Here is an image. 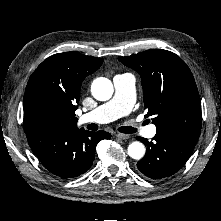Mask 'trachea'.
I'll return each instance as SVG.
<instances>
[{
	"instance_id": "obj_1",
	"label": "trachea",
	"mask_w": 221,
	"mask_h": 221,
	"mask_svg": "<svg viewBox=\"0 0 221 221\" xmlns=\"http://www.w3.org/2000/svg\"><path fill=\"white\" fill-rule=\"evenodd\" d=\"M118 131L121 133L131 134V133H135L136 129H134L133 127L122 126L118 128Z\"/></svg>"
}]
</instances>
